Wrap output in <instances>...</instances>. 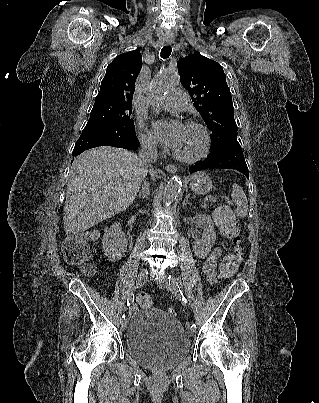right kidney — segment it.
I'll return each instance as SVG.
<instances>
[{
  "instance_id": "ca27d5eb",
  "label": "right kidney",
  "mask_w": 319,
  "mask_h": 403,
  "mask_svg": "<svg viewBox=\"0 0 319 403\" xmlns=\"http://www.w3.org/2000/svg\"><path fill=\"white\" fill-rule=\"evenodd\" d=\"M102 245L105 256L112 262H118L127 251V238L122 232L119 223L106 228L102 237Z\"/></svg>"
}]
</instances>
